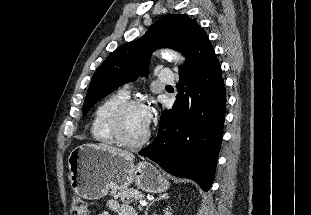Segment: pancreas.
Wrapping results in <instances>:
<instances>
[{
	"label": "pancreas",
	"instance_id": "cf45deb5",
	"mask_svg": "<svg viewBox=\"0 0 311 215\" xmlns=\"http://www.w3.org/2000/svg\"><path fill=\"white\" fill-rule=\"evenodd\" d=\"M112 195L115 199H119L123 203H132L133 201L136 202L144 198V195L140 191L133 188L120 190L118 193H112Z\"/></svg>",
	"mask_w": 311,
	"mask_h": 215
}]
</instances>
